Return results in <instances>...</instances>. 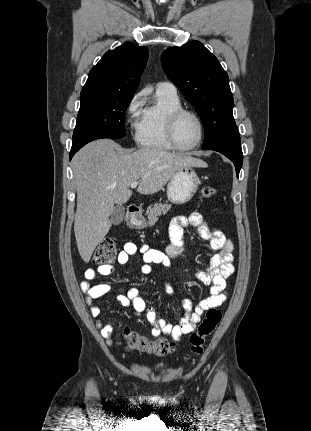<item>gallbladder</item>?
Returning <instances> with one entry per match:
<instances>
[{"instance_id": "1", "label": "gallbladder", "mask_w": 311, "mask_h": 431, "mask_svg": "<svg viewBox=\"0 0 311 431\" xmlns=\"http://www.w3.org/2000/svg\"><path fill=\"white\" fill-rule=\"evenodd\" d=\"M125 216V208H122V206H115L112 214H111V221L114 223V225H119L121 221H123Z\"/></svg>"}]
</instances>
